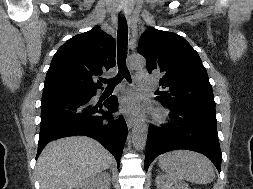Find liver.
Masks as SVG:
<instances>
[{
  "label": "liver",
  "instance_id": "obj_1",
  "mask_svg": "<svg viewBox=\"0 0 253 189\" xmlns=\"http://www.w3.org/2000/svg\"><path fill=\"white\" fill-rule=\"evenodd\" d=\"M112 155L96 140L72 136L50 142L37 162L41 189H73L106 170Z\"/></svg>",
  "mask_w": 253,
  "mask_h": 189
}]
</instances>
